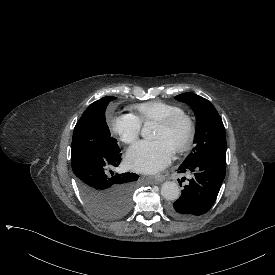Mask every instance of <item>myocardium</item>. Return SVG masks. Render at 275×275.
<instances>
[{
	"instance_id": "obj_1",
	"label": "myocardium",
	"mask_w": 275,
	"mask_h": 275,
	"mask_svg": "<svg viewBox=\"0 0 275 275\" xmlns=\"http://www.w3.org/2000/svg\"><path fill=\"white\" fill-rule=\"evenodd\" d=\"M179 125H183L184 133L173 148L176 152L181 153L188 150L194 141L195 124L192 118L185 113H178L159 122V126L170 133L174 132Z\"/></svg>"
}]
</instances>
